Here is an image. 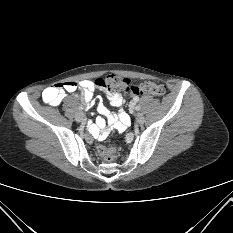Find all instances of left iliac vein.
Returning <instances> with one entry per match:
<instances>
[{
    "instance_id": "left-iliac-vein-1",
    "label": "left iliac vein",
    "mask_w": 233,
    "mask_h": 233,
    "mask_svg": "<svg viewBox=\"0 0 233 233\" xmlns=\"http://www.w3.org/2000/svg\"><path fill=\"white\" fill-rule=\"evenodd\" d=\"M136 122L139 125H142L145 122V118H144V115L142 113H137V115H136Z\"/></svg>"
}]
</instances>
